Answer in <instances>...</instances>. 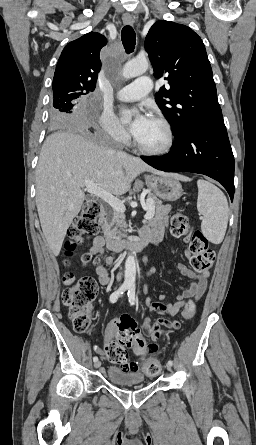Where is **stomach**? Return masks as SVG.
<instances>
[{"label": "stomach", "instance_id": "0dacf381", "mask_svg": "<svg viewBox=\"0 0 256 445\" xmlns=\"http://www.w3.org/2000/svg\"><path fill=\"white\" fill-rule=\"evenodd\" d=\"M146 184L160 199L176 201L183 195L180 182L172 175L146 176Z\"/></svg>", "mask_w": 256, "mask_h": 445}]
</instances>
